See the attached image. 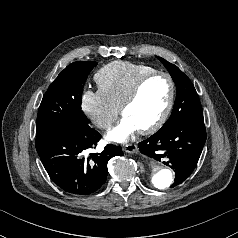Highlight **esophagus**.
Returning a JSON list of instances; mask_svg holds the SVG:
<instances>
[{
	"instance_id": "esophagus-1",
	"label": "esophagus",
	"mask_w": 238,
	"mask_h": 238,
	"mask_svg": "<svg viewBox=\"0 0 238 238\" xmlns=\"http://www.w3.org/2000/svg\"><path fill=\"white\" fill-rule=\"evenodd\" d=\"M123 150L126 152V153H136L137 152V146L134 145V144H127L123 147Z\"/></svg>"
}]
</instances>
